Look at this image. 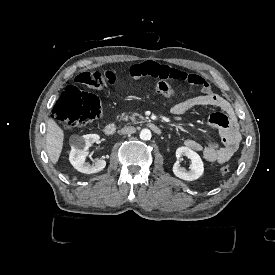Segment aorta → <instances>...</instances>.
Instances as JSON below:
<instances>
[{
    "mask_svg": "<svg viewBox=\"0 0 275 275\" xmlns=\"http://www.w3.org/2000/svg\"><path fill=\"white\" fill-rule=\"evenodd\" d=\"M140 139L142 140H150L151 139V131L149 129H142L140 131Z\"/></svg>",
    "mask_w": 275,
    "mask_h": 275,
    "instance_id": "1",
    "label": "aorta"
}]
</instances>
